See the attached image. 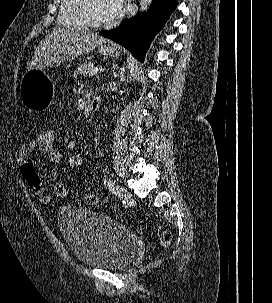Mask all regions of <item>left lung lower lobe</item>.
<instances>
[{
  "instance_id": "0a47b994",
  "label": "left lung lower lobe",
  "mask_w": 272,
  "mask_h": 303,
  "mask_svg": "<svg viewBox=\"0 0 272 303\" xmlns=\"http://www.w3.org/2000/svg\"><path fill=\"white\" fill-rule=\"evenodd\" d=\"M176 7V0H153L148 13H138L125 19L117 28L101 31L100 34L119 43L143 61L152 39Z\"/></svg>"
}]
</instances>
